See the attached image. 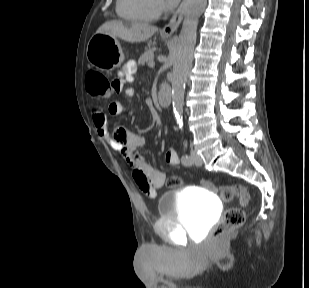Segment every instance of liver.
I'll return each instance as SVG.
<instances>
[{"instance_id": "liver-1", "label": "liver", "mask_w": 309, "mask_h": 288, "mask_svg": "<svg viewBox=\"0 0 309 288\" xmlns=\"http://www.w3.org/2000/svg\"><path fill=\"white\" fill-rule=\"evenodd\" d=\"M157 31V27L146 23L125 24L119 20H112L100 26L97 33L109 34L130 43H140L148 40Z\"/></svg>"}]
</instances>
